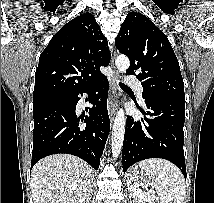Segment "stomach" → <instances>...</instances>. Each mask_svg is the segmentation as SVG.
Returning <instances> with one entry per match:
<instances>
[{"mask_svg":"<svg viewBox=\"0 0 214 203\" xmlns=\"http://www.w3.org/2000/svg\"><path fill=\"white\" fill-rule=\"evenodd\" d=\"M128 182L131 188L143 187L146 190L153 187L154 183L151 181L150 175L140 169L139 166H134L128 173Z\"/></svg>","mask_w":214,"mask_h":203,"instance_id":"stomach-1","label":"stomach"}]
</instances>
